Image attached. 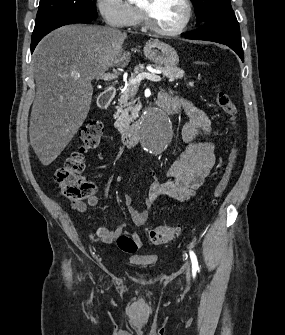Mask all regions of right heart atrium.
I'll return each instance as SVG.
<instances>
[{
  "label": "right heart atrium",
  "mask_w": 285,
  "mask_h": 335,
  "mask_svg": "<svg viewBox=\"0 0 285 335\" xmlns=\"http://www.w3.org/2000/svg\"><path fill=\"white\" fill-rule=\"evenodd\" d=\"M100 11L104 22L115 29L132 25L137 16L131 1H101Z\"/></svg>",
  "instance_id": "d8ad5b80"
}]
</instances>
